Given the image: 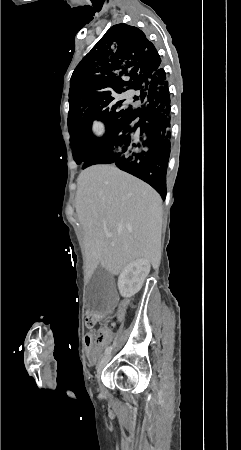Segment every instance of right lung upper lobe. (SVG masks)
<instances>
[{
	"label": "right lung upper lobe",
	"instance_id": "1",
	"mask_svg": "<svg viewBox=\"0 0 241 450\" xmlns=\"http://www.w3.org/2000/svg\"><path fill=\"white\" fill-rule=\"evenodd\" d=\"M161 68V58L145 34L126 24L112 26L75 68L72 76L123 93L143 92L142 78Z\"/></svg>",
	"mask_w": 241,
	"mask_h": 450
}]
</instances>
